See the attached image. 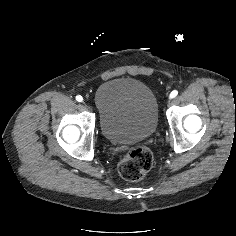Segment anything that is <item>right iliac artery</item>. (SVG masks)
Here are the masks:
<instances>
[{
    "instance_id": "1",
    "label": "right iliac artery",
    "mask_w": 236,
    "mask_h": 236,
    "mask_svg": "<svg viewBox=\"0 0 236 236\" xmlns=\"http://www.w3.org/2000/svg\"><path fill=\"white\" fill-rule=\"evenodd\" d=\"M76 100H77L78 102H82V101H83V98H82L81 95H77V96H76Z\"/></svg>"
}]
</instances>
